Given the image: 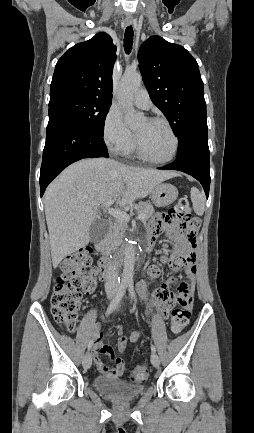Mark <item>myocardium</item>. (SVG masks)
I'll return each instance as SVG.
<instances>
[{"instance_id":"f54148a6","label":"myocardium","mask_w":254,"mask_h":433,"mask_svg":"<svg viewBox=\"0 0 254 433\" xmlns=\"http://www.w3.org/2000/svg\"><path fill=\"white\" fill-rule=\"evenodd\" d=\"M147 120L150 122L159 123V124H162L163 126H165V128L168 130V132L170 133V135L173 139L174 146H173V150H172L171 154L167 158L160 159V160L153 159L145 153V151L143 150V148H142V146H141V144H140V142H139V140L135 134V139H134L135 140V148H136L138 156L142 160H144L148 163H151V164H167V163L171 162L176 157L178 150H179L178 136L176 135L174 129L172 128V126L170 125V123L167 120L160 118V117H150V118H147Z\"/></svg>"}]
</instances>
